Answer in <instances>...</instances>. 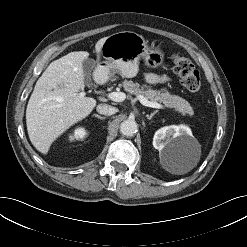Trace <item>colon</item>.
Here are the masks:
<instances>
[{"label": "colon", "instance_id": "colon-1", "mask_svg": "<svg viewBox=\"0 0 247 247\" xmlns=\"http://www.w3.org/2000/svg\"><path fill=\"white\" fill-rule=\"evenodd\" d=\"M172 65L175 73L181 78L183 86L188 91L196 92L200 89V74L188 58L174 54L172 56Z\"/></svg>", "mask_w": 247, "mask_h": 247}]
</instances>
